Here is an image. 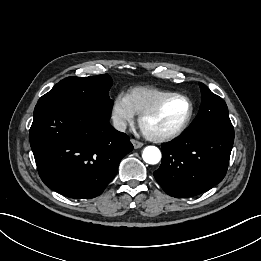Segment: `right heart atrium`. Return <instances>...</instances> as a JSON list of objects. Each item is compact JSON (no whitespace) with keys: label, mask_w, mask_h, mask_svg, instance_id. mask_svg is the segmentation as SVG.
Instances as JSON below:
<instances>
[{"label":"right heart atrium","mask_w":261,"mask_h":261,"mask_svg":"<svg viewBox=\"0 0 261 261\" xmlns=\"http://www.w3.org/2000/svg\"><path fill=\"white\" fill-rule=\"evenodd\" d=\"M135 112L133 111L126 95L118 94L115 96L111 106V120L114 127L123 131L127 125L134 121Z\"/></svg>","instance_id":"1"}]
</instances>
